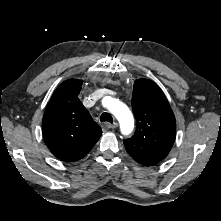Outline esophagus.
<instances>
[{"mask_svg": "<svg viewBox=\"0 0 221 221\" xmlns=\"http://www.w3.org/2000/svg\"><path fill=\"white\" fill-rule=\"evenodd\" d=\"M118 126V123L117 122H114V123H108L107 125H106V127L107 128H109V129H114V128H116Z\"/></svg>", "mask_w": 221, "mask_h": 221, "instance_id": "34e87169", "label": "esophagus"}]
</instances>
